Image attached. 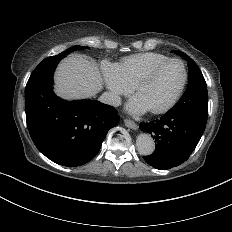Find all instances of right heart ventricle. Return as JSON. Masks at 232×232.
<instances>
[{
    "label": "right heart ventricle",
    "instance_id": "e07e8e85",
    "mask_svg": "<svg viewBox=\"0 0 232 232\" xmlns=\"http://www.w3.org/2000/svg\"><path fill=\"white\" fill-rule=\"evenodd\" d=\"M164 53L141 51L122 57L118 63V73L122 81L132 87L136 80L155 64L168 59Z\"/></svg>",
    "mask_w": 232,
    "mask_h": 232
}]
</instances>
